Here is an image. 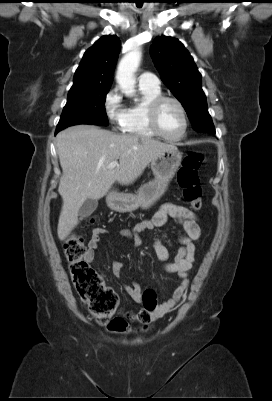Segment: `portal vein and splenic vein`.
Instances as JSON below:
<instances>
[{"mask_svg":"<svg viewBox=\"0 0 272 401\" xmlns=\"http://www.w3.org/2000/svg\"><path fill=\"white\" fill-rule=\"evenodd\" d=\"M117 166H118V162L117 161H113L107 166V168L108 169H114Z\"/></svg>","mask_w":272,"mask_h":401,"instance_id":"portal-vein-and-splenic-vein-1","label":"portal vein and splenic vein"}]
</instances>
